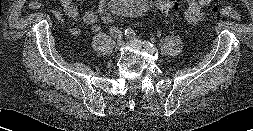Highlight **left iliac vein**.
<instances>
[{
	"mask_svg": "<svg viewBox=\"0 0 253 131\" xmlns=\"http://www.w3.org/2000/svg\"><path fill=\"white\" fill-rule=\"evenodd\" d=\"M128 38L131 40H138L139 39L137 36H128Z\"/></svg>",
	"mask_w": 253,
	"mask_h": 131,
	"instance_id": "4c4485c4",
	"label": "left iliac vein"
}]
</instances>
